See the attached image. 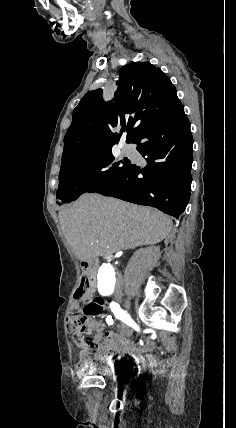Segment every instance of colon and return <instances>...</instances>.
Returning a JSON list of instances; mask_svg holds the SVG:
<instances>
[{"mask_svg": "<svg viewBox=\"0 0 236 428\" xmlns=\"http://www.w3.org/2000/svg\"><path fill=\"white\" fill-rule=\"evenodd\" d=\"M105 309L101 298L93 297L89 280L83 276L73 294L66 318V329L72 334L73 344L87 353H95L102 339L98 323L93 319Z\"/></svg>", "mask_w": 236, "mask_h": 428, "instance_id": "colon-1", "label": "colon"}]
</instances>
